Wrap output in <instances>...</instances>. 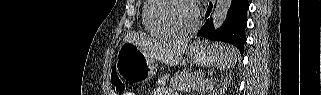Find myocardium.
<instances>
[{
	"mask_svg": "<svg viewBox=\"0 0 321 95\" xmlns=\"http://www.w3.org/2000/svg\"><path fill=\"white\" fill-rule=\"evenodd\" d=\"M172 1H184L189 3L193 7L194 13H195V23L188 30L182 31V30L175 29L161 18L160 13L162 9L168 6V4ZM155 3L156 4L152 7V10H151V18L155 23V25L161 30H163L166 34L177 36V37H186L194 34L199 29L202 20H201V13H200L199 7L195 1L193 0H155Z\"/></svg>",
	"mask_w": 321,
	"mask_h": 95,
	"instance_id": "obj_1",
	"label": "myocardium"
}]
</instances>
